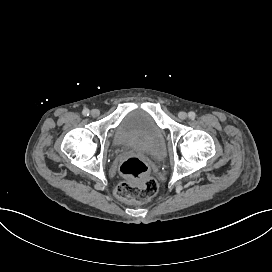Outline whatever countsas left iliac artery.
<instances>
[{"label":"left iliac artery","instance_id":"obj_1","mask_svg":"<svg viewBox=\"0 0 272 272\" xmlns=\"http://www.w3.org/2000/svg\"><path fill=\"white\" fill-rule=\"evenodd\" d=\"M188 117H189L190 119H194V118L196 117L195 112H193V111L189 112V113H188Z\"/></svg>","mask_w":272,"mask_h":272}]
</instances>
